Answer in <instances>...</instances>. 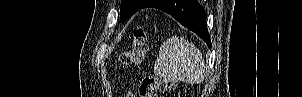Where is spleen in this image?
I'll list each match as a JSON object with an SVG mask.
<instances>
[{"label":"spleen","instance_id":"1","mask_svg":"<svg viewBox=\"0 0 302 97\" xmlns=\"http://www.w3.org/2000/svg\"><path fill=\"white\" fill-rule=\"evenodd\" d=\"M205 62L200 50L191 42L178 36L164 41L154 73L168 80L200 83L205 77Z\"/></svg>","mask_w":302,"mask_h":97}]
</instances>
